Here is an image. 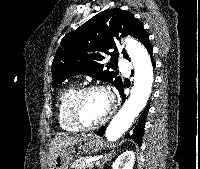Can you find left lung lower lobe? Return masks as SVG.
Returning <instances> with one entry per match:
<instances>
[{"mask_svg": "<svg viewBox=\"0 0 200 169\" xmlns=\"http://www.w3.org/2000/svg\"><path fill=\"white\" fill-rule=\"evenodd\" d=\"M145 47L148 50V53L150 54V56L152 58L153 47L151 46L150 41H148L146 43ZM155 64L156 63L152 60V65L155 66ZM124 87H125V84H122L121 87L118 89L120 94L122 95V101L125 100V96L123 95ZM148 111H149V104L147 105L145 111L142 113L141 117L139 118L137 125L132 130V132L128 133L125 136L126 138L133 139L139 146H141V143H142V133H143V130H144L145 119H146ZM104 133H105V127H102L97 132L98 135H103Z\"/></svg>", "mask_w": 200, "mask_h": 169, "instance_id": "left-lung-lower-lobe-1", "label": "left lung lower lobe"}]
</instances>
